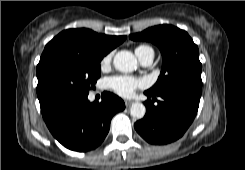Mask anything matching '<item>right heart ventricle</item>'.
<instances>
[{"mask_svg": "<svg viewBox=\"0 0 245 170\" xmlns=\"http://www.w3.org/2000/svg\"><path fill=\"white\" fill-rule=\"evenodd\" d=\"M135 53L137 57L141 60L149 54H154V50L146 44H140L135 48Z\"/></svg>", "mask_w": 245, "mask_h": 170, "instance_id": "e07e8e85", "label": "right heart ventricle"}]
</instances>
